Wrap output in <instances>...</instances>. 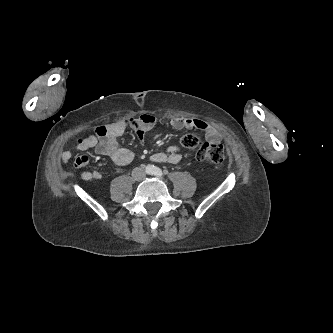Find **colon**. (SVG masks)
<instances>
[{
    "instance_id": "1",
    "label": "colon",
    "mask_w": 333,
    "mask_h": 333,
    "mask_svg": "<svg viewBox=\"0 0 333 333\" xmlns=\"http://www.w3.org/2000/svg\"><path fill=\"white\" fill-rule=\"evenodd\" d=\"M97 134H104L105 128L103 126L96 129ZM181 144L188 149H197L196 158L199 161H207L211 164H221L225 161L226 153L222 145L204 143L201 144L200 138L196 134H185L181 138Z\"/></svg>"
}]
</instances>
